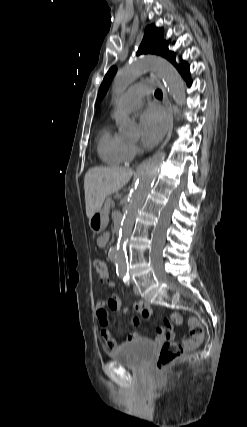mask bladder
Segmentation results:
<instances>
[{
    "instance_id": "1",
    "label": "bladder",
    "mask_w": 247,
    "mask_h": 427,
    "mask_svg": "<svg viewBox=\"0 0 247 427\" xmlns=\"http://www.w3.org/2000/svg\"><path fill=\"white\" fill-rule=\"evenodd\" d=\"M155 349L156 345L152 341L139 339L112 352L111 358L131 369L142 370L147 366Z\"/></svg>"
}]
</instances>
